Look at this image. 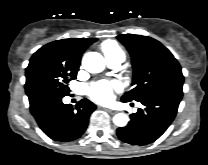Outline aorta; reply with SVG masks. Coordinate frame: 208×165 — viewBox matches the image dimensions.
Returning a JSON list of instances; mask_svg holds the SVG:
<instances>
[{"mask_svg": "<svg viewBox=\"0 0 208 165\" xmlns=\"http://www.w3.org/2000/svg\"><path fill=\"white\" fill-rule=\"evenodd\" d=\"M82 64L85 70L90 73H99L105 68V60L100 53L88 52L84 55ZM129 118L124 113H118L113 117V122L118 127L127 125Z\"/></svg>", "mask_w": 208, "mask_h": 165, "instance_id": "1", "label": "aorta"}]
</instances>
